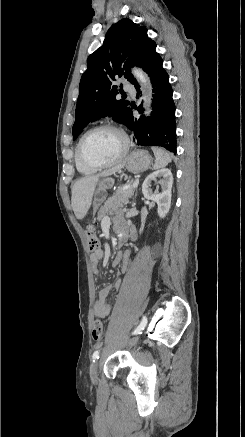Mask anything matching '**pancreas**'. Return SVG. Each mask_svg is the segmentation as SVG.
Returning <instances> with one entry per match:
<instances>
[{
    "label": "pancreas",
    "mask_w": 245,
    "mask_h": 437,
    "mask_svg": "<svg viewBox=\"0 0 245 437\" xmlns=\"http://www.w3.org/2000/svg\"><path fill=\"white\" fill-rule=\"evenodd\" d=\"M134 188L133 181L118 188L111 197L107 199L104 206L101 207L98 213V220L104 218L108 213L121 208L133 196Z\"/></svg>",
    "instance_id": "cf45deb5"
}]
</instances>
